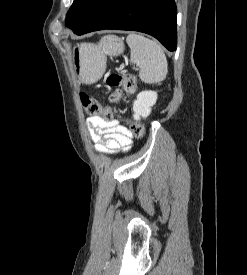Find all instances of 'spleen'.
<instances>
[{
    "mask_svg": "<svg viewBox=\"0 0 247 275\" xmlns=\"http://www.w3.org/2000/svg\"><path fill=\"white\" fill-rule=\"evenodd\" d=\"M126 42L130 47V61L140 66L139 77L147 84L159 83L166 78L168 63L163 48L154 40L131 33ZM109 39H102L99 47L107 49Z\"/></svg>",
    "mask_w": 247,
    "mask_h": 275,
    "instance_id": "3e777b00",
    "label": "spleen"
}]
</instances>
